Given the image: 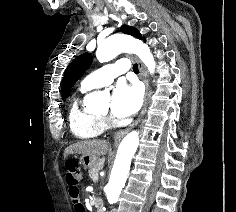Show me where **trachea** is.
Listing matches in <instances>:
<instances>
[{
	"label": "trachea",
	"mask_w": 236,
	"mask_h": 212,
	"mask_svg": "<svg viewBox=\"0 0 236 212\" xmlns=\"http://www.w3.org/2000/svg\"><path fill=\"white\" fill-rule=\"evenodd\" d=\"M133 71L136 72V73L139 72V69H138V65H137V64H134V65H133Z\"/></svg>",
	"instance_id": "trachea-1"
}]
</instances>
